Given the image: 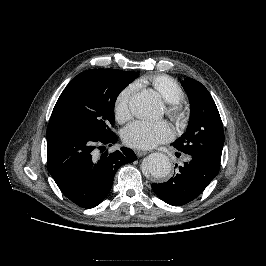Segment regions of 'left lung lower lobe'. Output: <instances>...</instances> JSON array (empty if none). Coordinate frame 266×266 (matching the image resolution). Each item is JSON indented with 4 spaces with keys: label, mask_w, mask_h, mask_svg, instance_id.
<instances>
[{
    "label": "left lung lower lobe",
    "mask_w": 266,
    "mask_h": 266,
    "mask_svg": "<svg viewBox=\"0 0 266 266\" xmlns=\"http://www.w3.org/2000/svg\"><path fill=\"white\" fill-rule=\"evenodd\" d=\"M218 173V166L190 155L171 179L152 184V189L166 203L180 206L198 197Z\"/></svg>",
    "instance_id": "1"
}]
</instances>
